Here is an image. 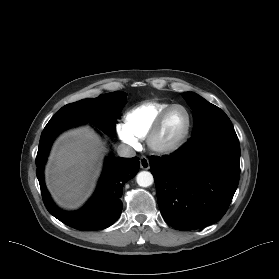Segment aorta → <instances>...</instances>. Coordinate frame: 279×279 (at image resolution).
Returning <instances> with one entry per match:
<instances>
[{"label":"aorta","instance_id":"obj_1","mask_svg":"<svg viewBox=\"0 0 279 279\" xmlns=\"http://www.w3.org/2000/svg\"><path fill=\"white\" fill-rule=\"evenodd\" d=\"M136 182L141 187H149L153 184V175L148 171H141L136 176Z\"/></svg>","mask_w":279,"mask_h":279}]
</instances>
